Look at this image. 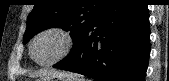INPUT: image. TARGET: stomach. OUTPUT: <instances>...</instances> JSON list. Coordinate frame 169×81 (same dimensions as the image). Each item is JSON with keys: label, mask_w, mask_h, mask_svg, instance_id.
Here are the masks:
<instances>
[{"label": "stomach", "mask_w": 169, "mask_h": 81, "mask_svg": "<svg viewBox=\"0 0 169 81\" xmlns=\"http://www.w3.org/2000/svg\"><path fill=\"white\" fill-rule=\"evenodd\" d=\"M36 81H75L71 78H66L61 75H49L44 77H39L36 79Z\"/></svg>", "instance_id": "1"}]
</instances>
